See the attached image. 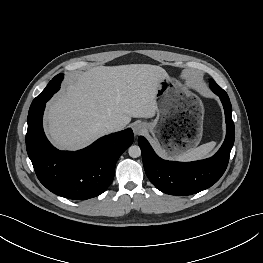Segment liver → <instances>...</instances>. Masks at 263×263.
<instances>
[{"instance_id": "liver-1", "label": "liver", "mask_w": 263, "mask_h": 263, "mask_svg": "<svg viewBox=\"0 0 263 263\" xmlns=\"http://www.w3.org/2000/svg\"><path fill=\"white\" fill-rule=\"evenodd\" d=\"M166 76L163 68L150 64L99 66L76 74L48 104L51 141L60 149L75 150L108 134L109 121L124 129L132 117H154L159 81Z\"/></svg>"}]
</instances>
